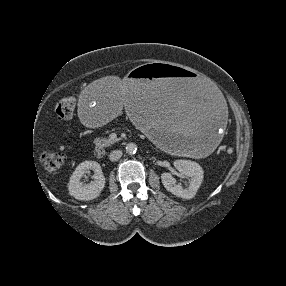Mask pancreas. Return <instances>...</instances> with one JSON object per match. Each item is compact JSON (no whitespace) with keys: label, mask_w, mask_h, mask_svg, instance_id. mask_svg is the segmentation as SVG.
<instances>
[{"label":"pancreas","mask_w":286,"mask_h":286,"mask_svg":"<svg viewBox=\"0 0 286 286\" xmlns=\"http://www.w3.org/2000/svg\"><path fill=\"white\" fill-rule=\"evenodd\" d=\"M118 140L119 138H108V139L97 138L94 140V143L96 144L97 147H108L117 142Z\"/></svg>","instance_id":"obj_1"}]
</instances>
